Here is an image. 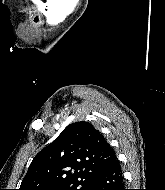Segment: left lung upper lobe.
I'll list each match as a JSON object with an SVG mask.
<instances>
[{
  "mask_svg": "<svg viewBox=\"0 0 165 190\" xmlns=\"http://www.w3.org/2000/svg\"><path fill=\"white\" fill-rule=\"evenodd\" d=\"M115 158L98 130L76 122L34 157L19 190H89Z\"/></svg>",
  "mask_w": 165,
  "mask_h": 190,
  "instance_id": "obj_1",
  "label": "left lung upper lobe"
}]
</instances>
